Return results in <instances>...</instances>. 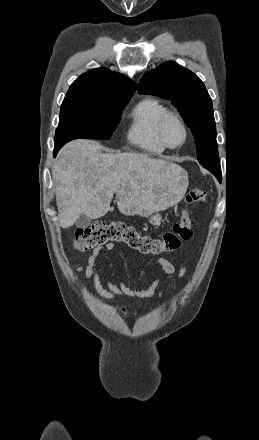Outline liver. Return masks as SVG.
Wrapping results in <instances>:
<instances>
[{
	"label": "liver",
	"instance_id": "6515ba94",
	"mask_svg": "<svg viewBox=\"0 0 259 440\" xmlns=\"http://www.w3.org/2000/svg\"><path fill=\"white\" fill-rule=\"evenodd\" d=\"M52 175L62 228L81 214L98 219L112 211L114 193L122 214L147 217L174 206L186 190L178 165L141 153H103L93 140L67 143Z\"/></svg>",
	"mask_w": 259,
	"mask_h": 440
}]
</instances>
